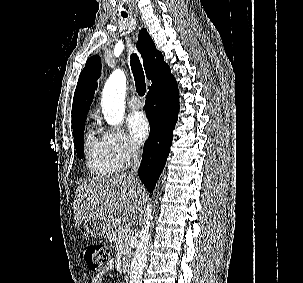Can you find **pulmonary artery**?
<instances>
[{
  "instance_id": "1",
  "label": "pulmonary artery",
  "mask_w": 303,
  "mask_h": 283,
  "mask_svg": "<svg viewBox=\"0 0 303 283\" xmlns=\"http://www.w3.org/2000/svg\"><path fill=\"white\" fill-rule=\"evenodd\" d=\"M128 106L133 110H137L142 107V102L137 96H132L128 100Z\"/></svg>"
}]
</instances>
